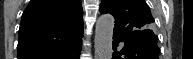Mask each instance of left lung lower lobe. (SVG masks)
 <instances>
[{"label": "left lung lower lobe", "mask_w": 193, "mask_h": 59, "mask_svg": "<svg viewBox=\"0 0 193 59\" xmlns=\"http://www.w3.org/2000/svg\"><path fill=\"white\" fill-rule=\"evenodd\" d=\"M158 37L151 31L145 34L129 32L125 35L114 32L112 59H159ZM119 42H124L121 52L116 50ZM125 56L122 58L121 56Z\"/></svg>", "instance_id": "left-lung-lower-lobe-1"}]
</instances>
